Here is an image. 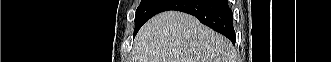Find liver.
<instances>
[{
  "label": "liver",
  "instance_id": "liver-1",
  "mask_svg": "<svg viewBox=\"0 0 331 62\" xmlns=\"http://www.w3.org/2000/svg\"><path fill=\"white\" fill-rule=\"evenodd\" d=\"M234 53L230 40L178 11L146 22L133 48L134 62H234Z\"/></svg>",
  "mask_w": 331,
  "mask_h": 62
}]
</instances>
